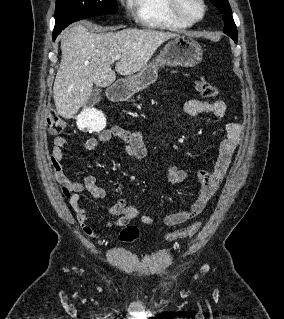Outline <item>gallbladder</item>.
Instances as JSON below:
<instances>
[{
  "instance_id": "obj_1",
  "label": "gallbladder",
  "mask_w": 284,
  "mask_h": 319,
  "mask_svg": "<svg viewBox=\"0 0 284 319\" xmlns=\"http://www.w3.org/2000/svg\"><path fill=\"white\" fill-rule=\"evenodd\" d=\"M101 100V91L96 88L95 90H93V92L90 94L89 98L86 101V106L90 107L93 106L95 104H97L98 102H100Z\"/></svg>"
}]
</instances>
